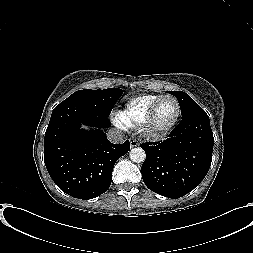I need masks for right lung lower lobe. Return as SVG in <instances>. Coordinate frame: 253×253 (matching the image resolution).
<instances>
[{"mask_svg": "<svg viewBox=\"0 0 253 253\" xmlns=\"http://www.w3.org/2000/svg\"><path fill=\"white\" fill-rule=\"evenodd\" d=\"M86 124L91 130H81ZM108 117L82 106L56 107L44 140V161L55 184L79 199H92L108 190L115 162L130 150L108 141L102 129Z\"/></svg>", "mask_w": 253, "mask_h": 253, "instance_id": "obj_1", "label": "right lung lower lobe"}]
</instances>
